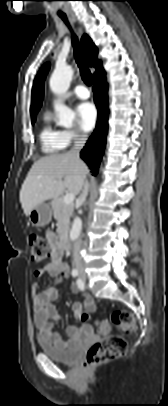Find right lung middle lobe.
Returning a JSON list of instances; mask_svg holds the SVG:
<instances>
[{
	"instance_id": "dd1d6c3e",
	"label": "right lung middle lobe",
	"mask_w": 168,
	"mask_h": 406,
	"mask_svg": "<svg viewBox=\"0 0 168 406\" xmlns=\"http://www.w3.org/2000/svg\"><path fill=\"white\" fill-rule=\"evenodd\" d=\"M35 122V119H32V124Z\"/></svg>"
}]
</instances>
